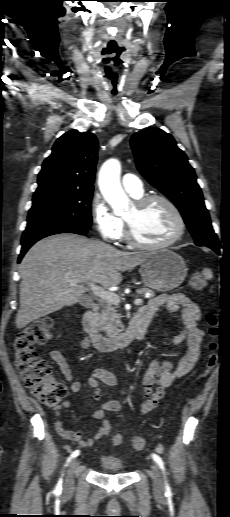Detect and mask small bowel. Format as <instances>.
Here are the masks:
<instances>
[{
	"instance_id": "c3829d8e",
	"label": "small bowel",
	"mask_w": 230,
	"mask_h": 517,
	"mask_svg": "<svg viewBox=\"0 0 230 517\" xmlns=\"http://www.w3.org/2000/svg\"><path fill=\"white\" fill-rule=\"evenodd\" d=\"M160 306H166L170 312L181 315L184 331L174 337L171 343L177 344L184 341L187 343L188 349L175 369L172 368L171 363L167 360L155 359L149 363L142 379L143 400L139 409L141 414L152 412L163 399L165 390L192 370L199 358L201 342L205 335L204 330L199 326L201 311L198 305L185 294H161L150 299L142 308L154 314ZM80 345L83 348H88L90 342L87 338H81ZM50 357L58 365L66 381L69 382L70 391L78 392L81 388V383L74 378L64 356L58 350H52ZM102 384L116 387L119 382L111 371L104 368H95L87 378V385L93 393L91 400L86 401V405L93 410L92 418L100 420L102 424L95 431L93 437L84 438L81 431L66 429L63 426L60 415L61 410L69 406L68 401H64L60 406L54 408L55 429L63 439L75 441L82 447H89L109 434L111 425L109 421L104 419L105 413L120 411L122 406L118 401L107 400L103 397ZM113 436L120 438L119 442H113L114 445L122 444L123 436L121 434Z\"/></svg>"
}]
</instances>
